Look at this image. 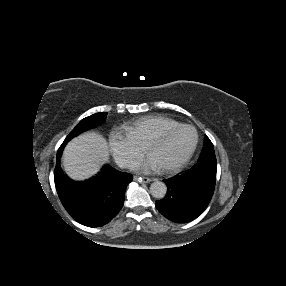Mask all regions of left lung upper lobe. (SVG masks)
<instances>
[{
  "instance_id": "obj_1",
  "label": "left lung upper lobe",
  "mask_w": 286,
  "mask_h": 286,
  "mask_svg": "<svg viewBox=\"0 0 286 286\" xmlns=\"http://www.w3.org/2000/svg\"><path fill=\"white\" fill-rule=\"evenodd\" d=\"M212 156H215L213 144L210 141V139L207 136H205L204 147H203L199 160H203L205 158L212 157Z\"/></svg>"
}]
</instances>
